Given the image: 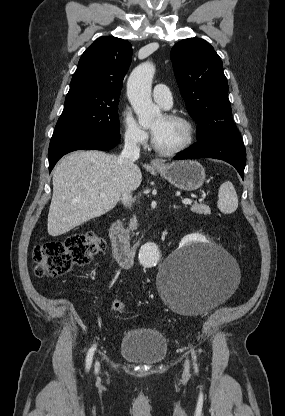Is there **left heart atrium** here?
Here are the masks:
<instances>
[{"label": "left heart atrium", "instance_id": "obj_1", "mask_svg": "<svg viewBox=\"0 0 285 416\" xmlns=\"http://www.w3.org/2000/svg\"><path fill=\"white\" fill-rule=\"evenodd\" d=\"M152 133H153V136H154V138L156 137V135H157V130H152Z\"/></svg>", "mask_w": 285, "mask_h": 416}]
</instances>
